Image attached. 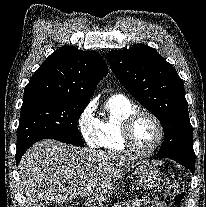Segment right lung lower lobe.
<instances>
[{"label": "right lung lower lobe", "instance_id": "right-lung-lower-lobe-1", "mask_svg": "<svg viewBox=\"0 0 206 207\" xmlns=\"http://www.w3.org/2000/svg\"><path fill=\"white\" fill-rule=\"evenodd\" d=\"M27 149H25V150H20V151H17L16 152V164L18 165V163H19V161H20V159H21V157H22V155L25 153V151H26Z\"/></svg>", "mask_w": 206, "mask_h": 207}]
</instances>
